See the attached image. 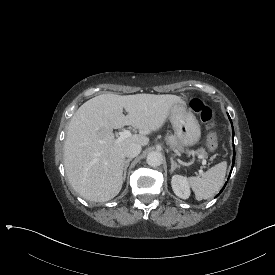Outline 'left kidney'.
Masks as SVG:
<instances>
[{
    "label": "left kidney",
    "mask_w": 275,
    "mask_h": 275,
    "mask_svg": "<svg viewBox=\"0 0 275 275\" xmlns=\"http://www.w3.org/2000/svg\"><path fill=\"white\" fill-rule=\"evenodd\" d=\"M172 189L178 197L188 199L191 195L189 178L181 174H173L171 177Z\"/></svg>",
    "instance_id": "5707ae66"
}]
</instances>
